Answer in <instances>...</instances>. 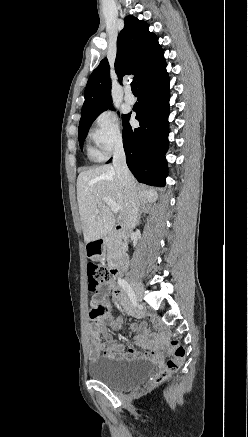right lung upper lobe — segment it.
<instances>
[{
  "label": "right lung upper lobe",
  "mask_w": 248,
  "mask_h": 437,
  "mask_svg": "<svg viewBox=\"0 0 248 437\" xmlns=\"http://www.w3.org/2000/svg\"><path fill=\"white\" fill-rule=\"evenodd\" d=\"M164 61V51L156 35L149 31V25L131 15L127 16L117 38L114 64L120 82L124 75L133 74L139 85ZM84 97L80 121L112 108L111 79L106 58L90 75Z\"/></svg>",
  "instance_id": "1"
}]
</instances>
